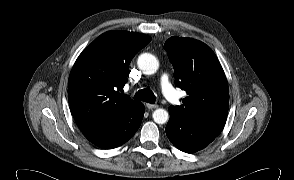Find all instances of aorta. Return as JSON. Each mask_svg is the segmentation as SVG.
Masks as SVG:
<instances>
[{
  "label": "aorta",
  "instance_id": "762f6f07",
  "mask_svg": "<svg viewBox=\"0 0 294 180\" xmlns=\"http://www.w3.org/2000/svg\"><path fill=\"white\" fill-rule=\"evenodd\" d=\"M137 65L139 69L147 75L154 74L159 68L157 58L150 53H143L138 57ZM153 119L157 124H164L169 119V113L165 109H156L153 114Z\"/></svg>",
  "mask_w": 294,
  "mask_h": 180
}]
</instances>
